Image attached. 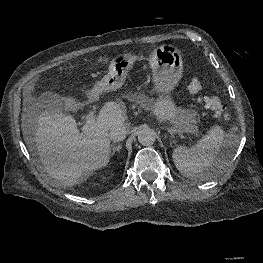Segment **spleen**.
Segmentation results:
<instances>
[{"mask_svg": "<svg viewBox=\"0 0 263 263\" xmlns=\"http://www.w3.org/2000/svg\"><path fill=\"white\" fill-rule=\"evenodd\" d=\"M238 145V137L225 134L220 126H214L194 146H177L172 158L179 172L191 179H209L221 174L230 165L233 151ZM221 148H225L218 157ZM214 166L210 174H205L209 167Z\"/></svg>", "mask_w": 263, "mask_h": 263, "instance_id": "spleen-1", "label": "spleen"}]
</instances>
